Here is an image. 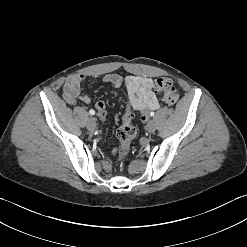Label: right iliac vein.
<instances>
[{
    "label": "right iliac vein",
    "mask_w": 247,
    "mask_h": 247,
    "mask_svg": "<svg viewBox=\"0 0 247 247\" xmlns=\"http://www.w3.org/2000/svg\"><path fill=\"white\" fill-rule=\"evenodd\" d=\"M87 128L90 130V131H94L95 128H96V120L94 117H90L87 121Z\"/></svg>",
    "instance_id": "right-iliac-vein-1"
}]
</instances>
